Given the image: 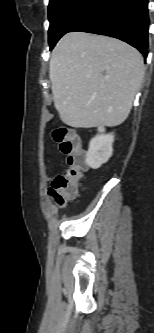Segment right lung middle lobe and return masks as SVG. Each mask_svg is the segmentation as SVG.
<instances>
[{"label":"right lung middle lobe","mask_w":154,"mask_h":333,"mask_svg":"<svg viewBox=\"0 0 154 333\" xmlns=\"http://www.w3.org/2000/svg\"><path fill=\"white\" fill-rule=\"evenodd\" d=\"M99 0H50L48 7L50 50L79 23Z\"/></svg>","instance_id":"right-lung-middle-lobe-1"}]
</instances>
